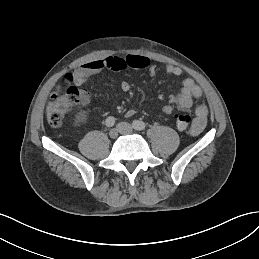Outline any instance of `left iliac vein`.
<instances>
[{
  "label": "left iliac vein",
  "mask_w": 259,
  "mask_h": 259,
  "mask_svg": "<svg viewBox=\"0 0 259 259\" xmlns=\"http://www.w3.org/2000/svg\"><path fill=\"white\" fill-rule=\"evenodd\" d=\"M117 129L121 134H131L133 132V127L126 122L119 123Z\"/></svg>",
  "instance_id": "left-iliac-vein-1"
}]
</instances>
